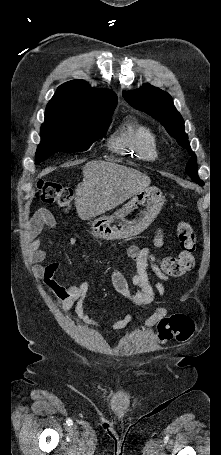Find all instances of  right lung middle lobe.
<instances>
[{"instance_id": "1", "label": "right lung middle lobe", "mask_w": 221, "mask_h": 455, "mask_svg": "<svg viewBox=\"0 0 221 455\" xmlns=\"http://www.w3.org/2000/svg\"><path fill=\"white\" fill-rule=\"evenodd\" d=\"M113 109H108L85 119H68L46 115L41 126V143L36 152V163L56 152L71 150L83 152L103 137L109 127Z\"/></svg>"}]
</instances>
